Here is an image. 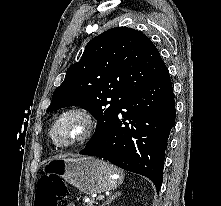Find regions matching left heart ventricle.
Wrapping results in <instances>:
<instances>
[{"mask_svg": "<svg viewBox=\"0 0 221 206\" xmlns=\"http://www.w3.org/2000/svg\"><path fill=\"white\" fill-rule=\"evenodd\" d=\"M79 122L77 120H68L59 125L55 131V138L58 141H64L73 136L79 129Z\"/></svg>", "mask_w": 221, "mask_h": 206, "instance_id": "1", "label": "left heart ventricle"}]
</instances>
